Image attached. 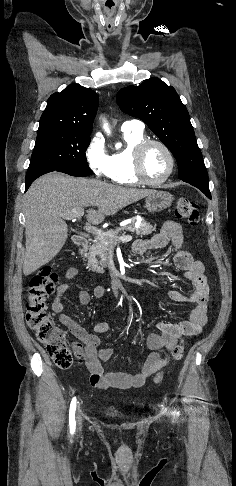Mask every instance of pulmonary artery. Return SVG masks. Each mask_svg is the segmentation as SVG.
<instances>
[{"mask_svg":"<svg viewBox=\"0 0 236 486\" xmlns=\"http://www.w3.org/2000/svg\"><path fill=\"white\" fill-rule=\"evenodd\" d=\"M122 130H137V131H143L144 129V123L140 120H127L122 124L121 127Z\"/></svg>","mask_w":236,"mask_h":486,"instance_id":"obj_1","label":"pulmonary artery"}]
</instances>
